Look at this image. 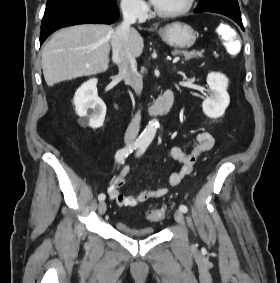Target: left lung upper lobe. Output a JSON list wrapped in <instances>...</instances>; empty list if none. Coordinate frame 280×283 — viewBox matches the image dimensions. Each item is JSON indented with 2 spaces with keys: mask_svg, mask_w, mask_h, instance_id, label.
Wrapping results in <instances>:
<instances>
[{
  "mask_svg": "<svg viewBox=\"0 0 280 283\" xmlns=\"http://www.w3.org/2000/svg\"><path fill=\"white\" fill-rule=\"evenodd\" d=\"M197 12H214L227 17L241 18L238 0H199Z\"/></svg>",
  "mask_w": 280,
  "mask_h": 283,
  "instance_id": "left-lung-upper-lobe-1",
  "label": "left lung upper lobe"
}]
</instances>
